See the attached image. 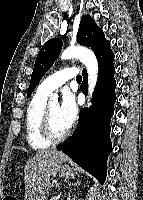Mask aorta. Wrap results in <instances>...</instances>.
<instances>
[{"mask_svg":"<svg viewBox=\"0 0 143 200\" xmlns=\"http://www.w3.org/2000/svg\"><path fill=\"white\" fill-rule=\"evenodd\" d=\"M60 57L62 60L78 58L85 65L88 72L89 95L91 96L98 80V62L93 51L84 46H70L61 53ZM57 103L58 97L54 94L51 104L56 105Z\"/></svg>","mask_w":143,"mask_h":200,"instance_id":"obj_1","label":"aorta"}]
</instances>
